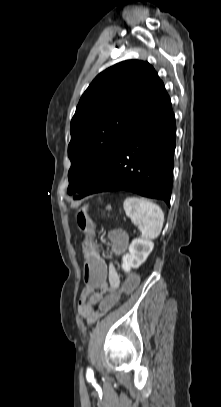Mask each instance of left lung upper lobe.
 Masks as SVG:
<instances>
[{
  "label": "left lung upper lobe",
  "mask_w": 221,
  "mask_h": 407,
  "mask_svg": "<svg viewBox=\"0 0 221 407\" xmlns=\"http://www.w3.org/2000/svg\"><path fill=\"white\" fill-rule=\"evenodd\" d=\"M160 83L154 68L138 60L115 64L92 81L71 120L68 194H81L92 185Z\"/></svg>",
  "instance_id": "5c2ea615"
}]
</instances>
